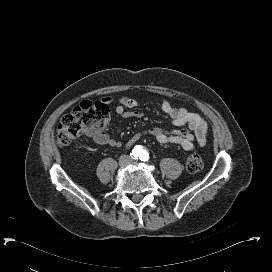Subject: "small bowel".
Wrapping results in <instances>:
<instances>
[{
  "label": "small bowel",
  "mask_w": 272,
  "mask_h": 272,
  "mask_svg": "<svg viewBox=\"0 0 272 272\" xmlns=\"http://www.w3.org/2000/svg\"><path fill=\"white\" fill-rule=\"evenodd\" d=\"M114 100L115 98L113 96L107 97V101L109 102H113ZM139 106L140 103L138 101L122 97L119 98L116 112L122 118H142L144 117V113L139 110H132ZM161 109L169 117L173 125H187L188 128L168 131L161 127H152L143 133L134 134L128 141V146L136 143L144 134L153 136L161 144L177 145L186 151H192L196 145H205L208 134V124L200 114L192 112L188 107L175 108L164 98L161 99ZM88 136L100 145L113 148L122 146V141L111 137L105 132H89Z\"/></svg>",
  "instance_id": "c3829d8e"
}]
</instances>
